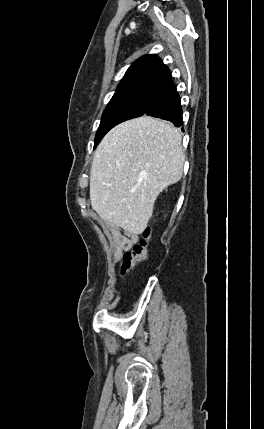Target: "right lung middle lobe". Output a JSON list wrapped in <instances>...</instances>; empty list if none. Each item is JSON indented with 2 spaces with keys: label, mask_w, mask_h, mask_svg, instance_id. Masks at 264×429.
Instances as JSON below:
<instances>
[{
  "label": "right lung middle lobe",
  "mask_w": 264,
  "mask_h": 429,
  "mask_svg": "<svg viewBox=\"0 0 264 429\" xmlns=\"http://www.w3.org/2000/svg\"><path fill=\"white\" fill-rule=\"evenodd\" d=\"M161 90L159 87L144 86L116 91L103 112L94 148L114 126L145 114Z\"/></svg>",
  "instance_id": "dd1d6c3e"
}]
</instances>
